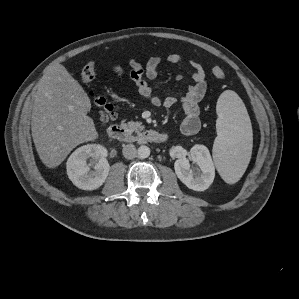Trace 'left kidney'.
I'll use <instances>...</instances> for the list:
<instances>
[{"label":"left kidney","instance_id":"1","mask_svg":"<svg viewBox=\"0 0 299 299\" xmlns=\"http://www.w3.org/2000/svg\"><path fill=\"white\" fill-rule=\"evenodd\" d=\"M190 161L196 166H191ZM174 169L181 182L194 191L208 189L215 177L210 152L204 145H194L188 158L183 157L175 161Z\"/></svg>","mask_w":299,"mask_h":299}]
</instances>
